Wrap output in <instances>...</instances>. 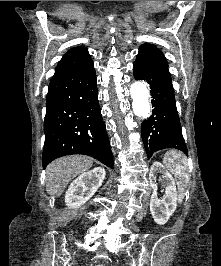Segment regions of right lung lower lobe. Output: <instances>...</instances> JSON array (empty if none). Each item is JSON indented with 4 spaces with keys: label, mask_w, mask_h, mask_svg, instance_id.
<instances>
[{
    "label": "right lung lower lobe",
    "mask_w": 221,
    "mask_h": 266,
    "mask_svg": "<svg viewBox=\"0 0 221 266\" xmlns=\"http://www.w3.org/2000/svg\"><path fill=\"white\" fill-rule=\"evenodd\" d=\"M44 133V168L54 159L71 154L89 155L113 167L92 60L51 79L46 98Z\"/></svg>",
    "instance_id": "right-lung-lower-lobe-1"
}]
</instances>
